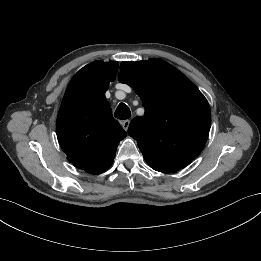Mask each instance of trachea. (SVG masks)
I'll use <instances>...</instances> for the list:
<instances>
[{
    "label": "trachea",
    "instance_id": "obj_1",
    "mask_svg": "<svg viewBox=\"0 0 261 261\" xmlns=\"http://www.w3.org/2000/svg\"><path fill=\"white\" fill-rule=\"evenodd\" d=\"M114 116L120 120H126V119L130 118L131 112H130L129 107L124 103H120L115 111Z\"/></svg>",
    "mask_w": 261,
    "mask_h": 261
}]
</instances>
